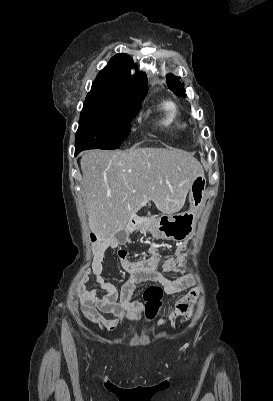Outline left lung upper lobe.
Segmentation results:
<instances>
[{"mask_svg":"<svg viewBox=\"0 0 273 401\" xmlns=\"http://www.w3.org/2000/svg\"><path fill=\"white\" fill-rule=\"evenodd\" d=\"M168 88L172 90L176 95L186 97L183 87L184 84L180 82V77H176L173 74H169L166 79Z\"/></svg>","mask_w":273,"mask_h":401,"instance_id":"obj_1","label":"left lung upper lobe"}]
</instances>
